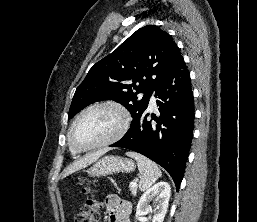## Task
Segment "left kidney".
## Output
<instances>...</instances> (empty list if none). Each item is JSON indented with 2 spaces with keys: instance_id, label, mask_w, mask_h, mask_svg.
<instances>
[{
  "instance_id": "5707ae66",
  "label": "left kidney",
  "mask_w": 257,
  "mask_h": 222,
  "mask_svg": "<svg viewBox=\"0 0 257 222\" xmlns=\"http://www.w3.org/2000/svg\"><path fill=\"white\" fill-rule=\"evenodd\" d=\"M171 194V187L167 182L161 181L149 188L141 196L136 209V218L146 215L152 210L150 202L155 204L152 222H163L167 212Z\"/></svg>"
}]
</instances>
